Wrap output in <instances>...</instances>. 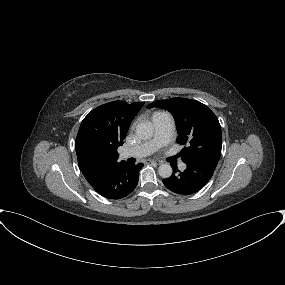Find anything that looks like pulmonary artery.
Segmentation results:
<instances>
[{
    "instance_id": "e3ab8cb5",
    "label": "pulmonary artery",
    "mask_w": 285,
    "mask_h": 285,
    "mask_svg": "<svg viewBox=\"0 0 285 285\" xmlns=\"http://www.w3.org/2000/svg\"><path fill=\"white\" fill-rule=\"evenodd\" d=\"M154 138L141 145L126 149L121 153V158H140L153 153L157 148L167 144L172 132V117L168 113H163L153 120ZM180 168L185 169V164L180 163Z\"/></svg>"
}]
</instances>
